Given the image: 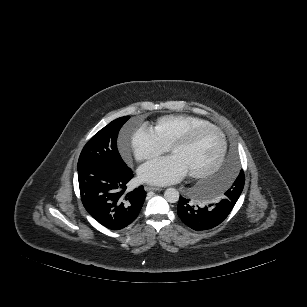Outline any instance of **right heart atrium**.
Here are the masks:
<instances>
[{
  "instance_id": "d8ad5b80",
  "label": "right heart atrium",
  "mask_w": 307,
  "mask_h": 307,
  "mask_svg": "<svg viewBox=\"0 0 307 307\" xmlns=\"http://www.w3.org/2000/svg\"><path fill=\"white\" fill-rule=\"evenodd\" d=\"M123 155L131 151L138 161L150 160L160 156L168 150V146L160 141L155 132L147 127L134 129L120 142Z\"/></svg>"
}]
</instances>
